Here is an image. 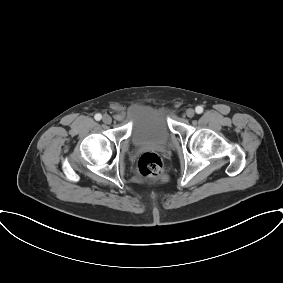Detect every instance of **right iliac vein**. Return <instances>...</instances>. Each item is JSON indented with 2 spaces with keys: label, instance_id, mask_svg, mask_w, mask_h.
<instances>
[{
  "label": "right iliac vein",
  "instance_id": "63e3f726",
  "mask_svg": "<svg viewBox=\"0 0 283 283\" xmlns=\"http://www.w3.org/2000/svg\"><path fill=\"white\" fill-rule=\"evenodd\" d=\"M102 121L105 123V124H110L112 122V118L110 115L108 114H105L102 118Z\"/></svg>",
  "mask_w": 283,
  "mask_h": 283
}]
</instances>
